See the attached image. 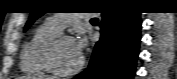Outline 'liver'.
Listing matches in <instances>:
<instances>
[{
    "label": "liver",
    "instance_id": "6515ba94",
    "mask_svg": "<svg viewBox=\"0 0 177 79\" xmlns=\"http://www.w3.org/2000/svg\"><path fill=\"white\" fill-rule=\"evenodd\" d=\"M30 79H53L51 76H34V77H29Z\"/></svg>",
    "mask_w": 177,
    "mask_h": 79
}]
</instances>
